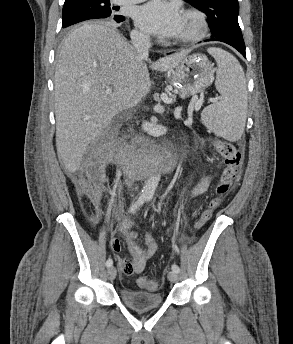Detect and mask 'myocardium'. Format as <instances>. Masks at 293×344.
<instances>
[{"instance_id": "f54148a6", "label": "myocardium", "mask_w": 293, "mask_h": 344, "mask_svg": "<svg viewBox=\"0 0 293 344\" xmlns=\"http://www.w3.org/2000/svg\"><path fill=\"white\" fill-rule=\"evenodd\" d=\"M184 18L192 23L191 32L175 40V44H191L202 40L208 31V23L205 15L194 9L186 10L184 12Z\"/></svg>"}]
</instances>
